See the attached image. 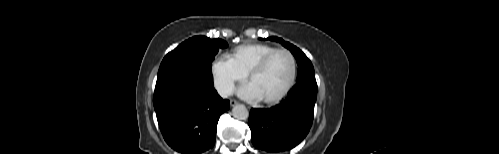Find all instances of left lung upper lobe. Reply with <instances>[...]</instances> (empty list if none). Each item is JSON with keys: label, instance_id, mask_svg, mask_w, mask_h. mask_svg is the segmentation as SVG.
<instances>
[{"label": "left lung upper lobe", "instance_id": "obj_1", "mask_svg": "<svg viewBox=\"0 0 499 154\" xmlns=\"http://www.w3.org/2000/svg\"><path fill=\"white\" fill-rule=\"evenodd\" d=\"M267 39L282 43V45L287 49H289L291 53L295 56L298 64L297 82L306 81V80L316 81L315 72L311 61L299 48L278 37H269L265 38L264 40Z\"/></svg>", "mask_w": 499, "mask_h": 154}]
</instances>
